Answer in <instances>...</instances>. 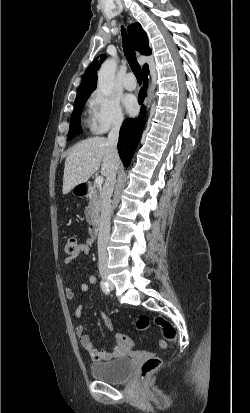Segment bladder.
Instances as JSON below:
<instances>
[{
    "label": "bladder",
    "mask_w": 250,
    "mask_h": 413,
    "mask_svg": "<svg viewBox=\"0 0 250 413\" xmlns=\"http://www.w3.org/2000/svg\"><path fill=\"white\" fill-rule=\"evenodd\" d=\"M134 361L130 356L124 355L106 362H98L90 365L93 378L108 382H124L131 374Z\"/></svg>",
    "instance_id": "obj_1"
}]
</instances>
